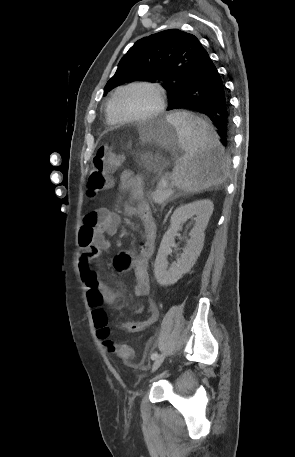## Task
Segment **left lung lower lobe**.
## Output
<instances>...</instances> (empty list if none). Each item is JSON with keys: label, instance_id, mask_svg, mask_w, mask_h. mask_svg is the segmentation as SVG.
<instances>
[{"label": "left lung lower lobe", "instance_id": "1", "mask_svg": "<svg viewBox=\"0 0 295 457\" xmlns=\"http://www.w3.org/2000/svg\"><path fill=\"white\" fill-rule=\"evenodd\" d=\"M187 81L169 110L186 108L205 114L215 124L224 147L231 142V119L225 86L208 52L202 47L187 71Z\"/></svg>", "mask_w": 295, "mask_h": 457}]
</instances>
